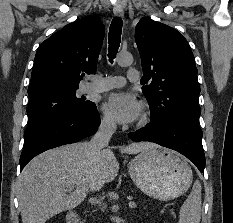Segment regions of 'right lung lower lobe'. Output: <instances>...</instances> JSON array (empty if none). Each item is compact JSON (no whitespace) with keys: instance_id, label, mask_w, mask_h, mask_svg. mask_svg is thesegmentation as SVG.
<instances>
[{"instance_id":"right-lung-lower-lobe-1","label":"right lung lower lobe","mask_w":233,"mask_h":223,"mask_svg":"<svg viewBox=\"0 0 233 223\" xmlns=\"http://www.w3.org/2000/svg\"><path fill=\"white\" fill-rule=\"evenodd\" d=\"M100 125L96 105L43 123L27 131L20 156V171L36 155L64 144L78 142L95 133Z\"/></svg>"}]
</instances>
